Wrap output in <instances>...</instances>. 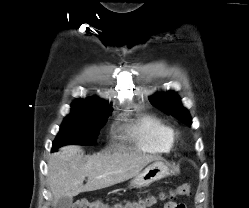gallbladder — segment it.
I'll return each mask as SVG.
<instances>
[{"mask_svg":"<svg viewBox=\"0 0 249 208\" xmlns=\"http://www.w3.org/2000/svg\"><path fill=\"white\" fill-rule=\"evenodd\" d=\"M72 203H73L72 198L61 197L55 204L54 208H71Z\"/></svg>","mask_w":249,"mask_h":208,"instance_id":"gallbladder-1","label":"gallbladder"}]
</instances>
